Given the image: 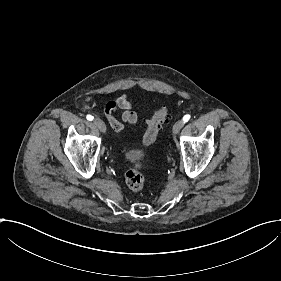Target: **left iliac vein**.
Returning a JSON list of instances; mask_svg holds the SVG:
<instances>
[{"label":"left iliac vein","instance_id":"obj_1","mask_svg":"<svg viewBox=\"0 0 281 281\" xmlns=\"http://www.w3.org/2000/svg\"><path fill=\"white\" fill-rule=\"evenodd\" d=\"M182 127H184V121L183 120L177 121L171 131L173 134L176 135L179 133Z\"/></svg>","mask_w":281,"mask_h":281}]
</instances>
